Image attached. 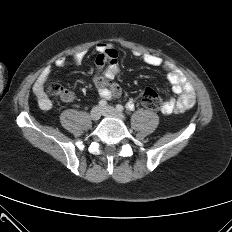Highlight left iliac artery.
I'll list each match as a JSON object with an SVG mask.
<instances>
[{"mask_svg":"<svg viewBox=\"0 0 232 232\" xmlns=\"http://www.w3.org/2000/svg\"><path fill=\"white\" fill-rule=\"evenodd\" d=\"M128 110H134V103H130V104H128L127 103V107H126ZM116 109L118 110V111H123L124 110V107L122 106V105H120V104H118L117 106H116Z\"/></svg>","mask_w":232,"mask_h":232,"instance_id":"obj_1","label":"left iliac artery"}]
</instances>
